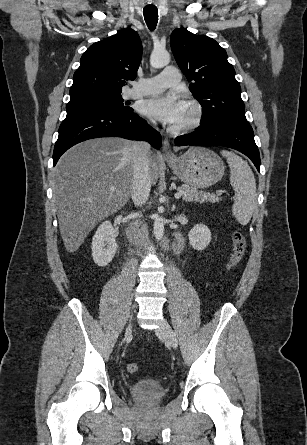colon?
<instances>
[{"mask_svg":"<svg viewBox=\"0 0 307 445\" xmlns=\"http://www.w3.org/2000/svg\"><path fill=\"white\" fill-rule=\"evenodd\" d=\"M232 253L227 264V268L232 270L241 262L246 251V238L240 230H235L232 234ZM127 370L131 374H135L139 370V366L136 363H130Z\"/></svg>","mask_w":307,"mask_h":445,"instance_id":"1","label":"colon"}]
</instances>
